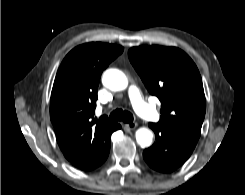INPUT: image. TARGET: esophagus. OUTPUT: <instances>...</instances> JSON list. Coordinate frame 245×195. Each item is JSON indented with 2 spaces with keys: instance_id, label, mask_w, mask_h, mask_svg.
<instances>
[{
  "instance_id": "esophagus-1",
  "label": "esophagus",
  "mask_w": 245,
  "mask_h": 195,
  "mask_svg": "<svg viewBox=\"0 0 245 195\" xmlns=\"http://www.w3.org/2000/svg\"><path fill=\"white\" fill-rule=\"evenodd\" d=\"M125 127L128 129L134 130L137 127V123L135 122L127 123L125 124Z\"/></svg>"
}]
</instances>
